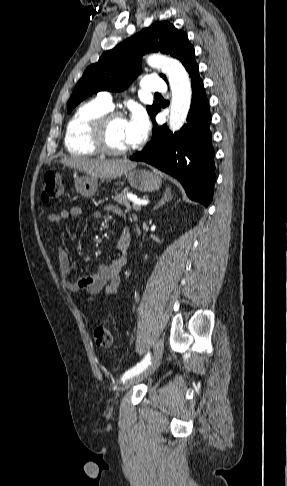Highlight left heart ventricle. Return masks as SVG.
I'll list each match as a JSON object with an SVG mask.
<instances>
[{
  "label": "left heart ventricle",
  "instance_id": "1",
  "mask_svg": "<svg viewBox=\"0 0 287 486\" xmlns=\"http://www.w3.org/2000/svg\"><path fill=\"white\" fill-rule=\"evenodd\" d=\"M107 142L114 149L131 147L126 119L113 121L107 132Z\"/></svg>",
  "mask_w": 287,
  "mask_h": 486
}]
</instances>
